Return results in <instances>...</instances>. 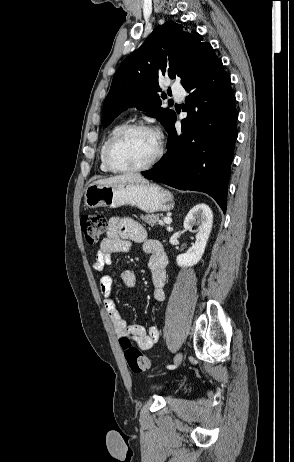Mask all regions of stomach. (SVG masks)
<instances>
[{
  "label": "stomach",
  "mask_w": 294,
  "mask_h": 462,
  "mask_svg": "<svg viewBox=\"0 0 294 462\" xmlns=\"http://www.w3.org/2000/svg\"><path fill=\"white\" fill-rule=\"evenodd\" d=\"M84 201L90 209L131 205L146 213H154L174 208L173 195L159 185L149 182L90 184L85 190Z\"/></svg>",
  "instance_id": "1"
}]
</instances>
